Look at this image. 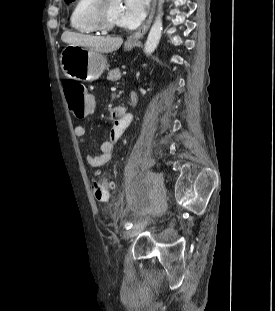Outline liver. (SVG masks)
Instances as JSON below:
<instances>
[{
  "mask_svg": "<svg viewBox=\"0 0 275 311\" xmlns=\"http://www.w3.org/2000/svg\"><path fill=\"white\" fill-rule=\"evenodd\" d=\"M61 40L69 45L87 47L100 53L113 52L123 44L121 37H101L69 31H65L62 34Z\"/></svg>",
  "mask_w": 275,
  "mask_h": 311,
  "instance_id": "obj_1",
  "label": "liver"
}]
</instances>
